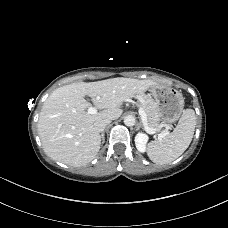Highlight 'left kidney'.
<instances>
[{
  "instance_id": "left-kidney-1",
  "label": "left kidney",
  "mask_w": 228,
  "mask_h": 228,
  "mask_svg": "<svg viewBox=\"0 0 228 228\" xmlns=\"http://www.w3.org/2000/svg\"><path fill=\"white\" fill-rule=\"evenodd\" d=\"M148 136L144 133H138L135 136V145L139 152H145Z\"/></svg>"
}]
</instances>
